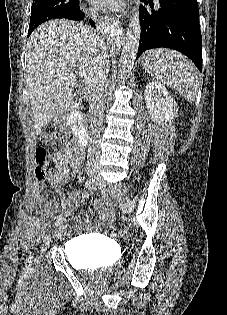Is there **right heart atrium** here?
<instances>
[{"label": "right heart atrium", "instance_id": "d8ad5b80", "mask_svg": "<svg viewBox=\"0 0 227 315\" xmlns=\"http://www.w3.org/2000/svg\"><path fill=\"white\" fill-rule=\"evenodd\" d=\"M80 8L84 11H89L90 9H87L84 5H80Z\"/></svg>", "mask_w": 227, "mask_h": 315}]
</instances>
